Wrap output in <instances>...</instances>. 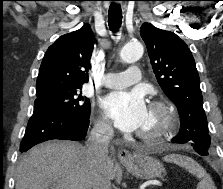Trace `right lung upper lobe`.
Instances as JSON below:
<instances>
[{
    "mask_svg": "<svg viewBox=\"0 0 223 189\" xmlns=\"http://www.w3.org/2000/svg\"><path fill=\"white\" fill-rule=\"evenodd\" d=\"M93 46L94 37L88 24L59 37L43 57L36 92L82 87L89 79Z\"/></svg>",
    "mask_w": 223,
    "mask_h": 189,
    "instance_id": "cb5924a9",
    "label": "right lung upper lobe"
}]
</instances>
